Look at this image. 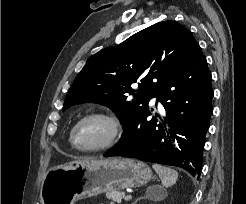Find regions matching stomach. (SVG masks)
I'll return each instance as SVG.
<instances>
[{"label":"stomach","mask_w":246,"mask_h":204,"mask_svg":"<svg viewBox=\"0 0 246 204\" xmlns=\"http://www.w3.org/2000/svg\"><path fill=\"white\" fill-rule=\"evenodd\" d=\"M150 167L134 159H85L50 168L40 188L41 204H74L79 199L145 185Z\"/></svg>","instance_id":"obj_1"}]
</instances>
